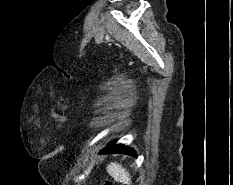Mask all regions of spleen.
Here are the masks:
<instances>
[{"instance_id": "1", "label": "spleen", "mask_w": 233, "mask_h": 185, "mask_svg": "<svg viewBox=\"0 0 233 185\" xmlns=\"http://www.w3.org/2000/svg\"><path fill=\"white\" fill-rule=\"evenodd\" d=\"M106 170L108 174L114 178L115 181L130 185L131 184V177L126 168H124L121 164L116 162H112L107 165Z\"/></svg>"}]
</instances>
